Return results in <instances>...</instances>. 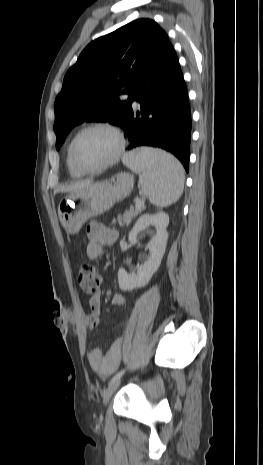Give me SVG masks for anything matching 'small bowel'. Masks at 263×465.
Returning a JSON list of instances; mask_svg holds the SVG:
<instances>
[{
	"label": "small bowel",
	"instance_id": "1",
	"mask_svg": "<svg viewBox=\"0 0 263 465\" xmlns=\"http://www.w3.org/2000/svg\"><path fill=\"white\" fill-rule=\"evenodd\" d=\"M87 237V256L91 260H96L102 256L104 247L114 244L117 239V232L101 223L92 222L87 227ZM111 303L115 307H123L125 298L121 294H115L111 299ZM88 305L90 309L89 316L99 318L101 314L100 295L96 294L90 297ZM121 351L122 341L118 339L113 342L106 352L98 347L92 348L87 354V359L94 372L102 377H106L117 369L121 358Z\"/></svg>",
	"mask_w": 263,
	"mask_h": 465
}]
</instances>
